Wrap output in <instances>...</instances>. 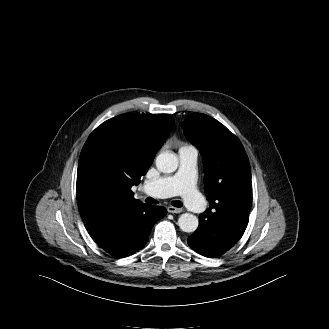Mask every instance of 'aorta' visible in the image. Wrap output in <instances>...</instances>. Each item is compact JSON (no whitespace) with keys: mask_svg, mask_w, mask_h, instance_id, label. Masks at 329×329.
<instances>
[{"mask_svg":"<svg viewBox=\"0 0 329 329\" xmlns=\"http://www.w3.org/2000/svg\"><path fill=\"white\" fill-rule=\"evenodd\" d=\"M156 167L162 173H172L178 167V158L174 153L162 152L156 157ZM198 225V218L190 213H184L178 219L179 228L187 233L194 232Z\"/></svg>","mask_w":329,"mask_h":329,"instance_id":"obj_1","label":"aorta"}]
</instances>
